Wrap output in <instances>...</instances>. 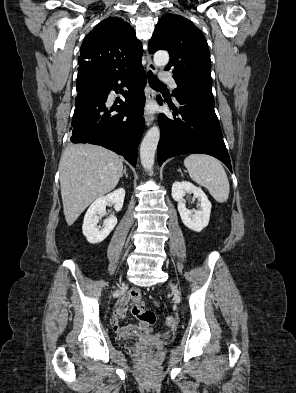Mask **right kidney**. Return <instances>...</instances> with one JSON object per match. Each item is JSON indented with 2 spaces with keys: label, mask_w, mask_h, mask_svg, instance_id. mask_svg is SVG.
<instances>
[{
  "label": "right kidney",
  "mask_w": 296,
  "mask_h": 393,
  "mask_svg": "<svg viewBox=\"0 0 296 393\" xmlns=\"http://www.w3.org/2000/svg\"><path fill=\"white\" fill-rule=\"evenodd\" d=\"M124 197L125 190L119 188L106 196L99 197L91 204L85 214L82 226L83 234L89 243L98 244L102 242L114 229L117 224V218L111 216L104 220L103 228L99 230L97 227L99 215L105 212L108 203L114 204L115 210L117 212L120 211L123 207Z\"/></svg>",
  "instance_id": "right-kidney-1"
}]
</instances>
